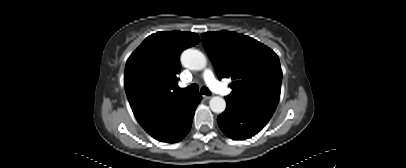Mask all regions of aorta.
I'll list each match as a JSON object with an SVG mask.
<instances>
[{"label":"aorta","instance_id":"obj_1","mask_svg":"<svg viewBox=\"0 0 406 168\" xmlns=\"http://www.w3.org/2000/svg\"><path fill=\"white\" fill-rule=\"evenodd\" d=\"M181 63L184 67L199 71L206 67L207 60L205 55L197 49H187L181 54ZM210 109L214 113H222L226 108V101L219 96H214L209 102Z\"/></svg>","mask_w":406,"mask_h":168}]
</instances>
